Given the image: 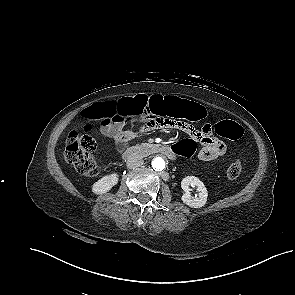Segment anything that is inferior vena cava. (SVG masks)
<instances>
[{"label": "inferior vena cava", "instance_id": "602c4592", "mask_svg": "<svg viewBox=\"0 0 295 295\" xmlns=\"http://www.w3.org/2000/svg\"><path fill=\"white\" fill-rule=\"evenodd\" d=\"M144 163L143 159L142 158H139V157H130L128 160H127V167L129 169H135V168H138L140 166H142Z\"/></svg>", "mask_w": 295, "mask_h": 295}]
</instances>
